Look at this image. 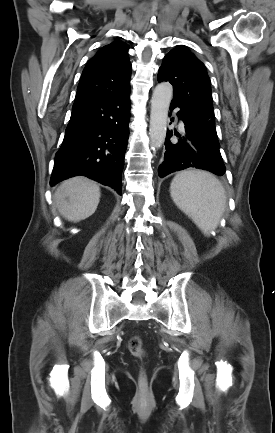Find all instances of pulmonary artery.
Wrapping results in <instances>:
<instances>
[{"label":"pulmonary artery","mask_w":275,"mask_h":433,"mask_svg":"<svg viewBox=\"0 0 275 433\" xmlns=\"http://www.w3.org/2000/svg\"><path fill=\"white\" fill-rule=\"evenodd\" d=\"M179 126L183 127V122L182 121H180Z\"/></svg>","instance_id":"pulmonary-artery-1"}]
</instances>
